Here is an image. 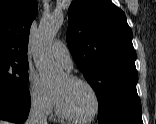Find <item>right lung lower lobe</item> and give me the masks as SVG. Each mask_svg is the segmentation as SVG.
Returning a JSON list of instances; mask_svg holds the SVG:
<instances>
[{
    "label": "right lung lower lobe",
    "mask_w": 156,
    "mask_h": 124,
    "mask_svg": "<svg viewBox=\"0 0 156 124\" xmlns=\"http://www.w3.org/2000/svg\"><path fill=\"white\" fill-rule=\"evenodd\" d=\"M30 96L6 92L0 89V119L21 123L28 117Z\"/></svg>",
    "instance_id": "98d812e1"
}]
</instances>
